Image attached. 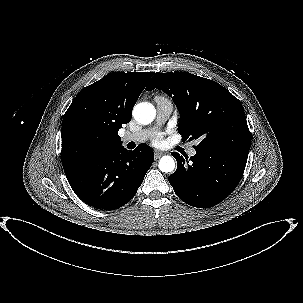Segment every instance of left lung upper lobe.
Here are the masks:
<instances>
[{"label":"left lung upper lobe","instance_id":"obj_1","mask_svg":"<svg viewBox=\"0 0 303 303\" xmlns=\"http://www.w3.org/2000/svg\"><path fill=\"white\" fill-rule=\"evenodd\" d=\"M158 88L179 109L178 132L183 139H199L195 149L249 151L251 133L241 102L220 84L188 72H157L146 90Z\"/></svg>","mask_w":303,"mask_h":303}]
</instances>
